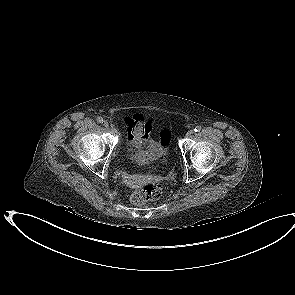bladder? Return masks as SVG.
<instances>
[{"mask_svg":"<svg viewBox=\"0 0 295 295\" xmlns=\"http://www.w3.org/2000/svg\"><path fill=\"white\" fill-rule=\"evenodd\" d=\"M162 142L149 140L142 148L131 155V159L138 164H149L158 160L164 153Z\"/></svg>","mask_w":295,"mask_h":295,"instance_id":"obj_1","label":"bladder"}]
</instances>
